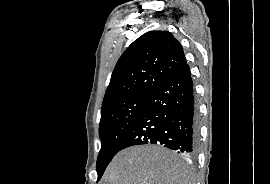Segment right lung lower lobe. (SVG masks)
<instances>
[{
  "mask_svg": "<svg viewBox=\"0 0 270 184\" xmlns=\"http://www.w3.org/2000/svg\"><path fill=\"white\" fill-rule=\"evenodd\" d=\"M198 133V111L186 63L147 97L119 151L134 145L162 144L178 152L194 154Z\"/></svg>",
  "mask_w": 270,
  "mask_h": 184,
  "instance_id": "right-lung-lower-lobe-1",
  "label": "right lung lower lobe"
}]
</instances>
